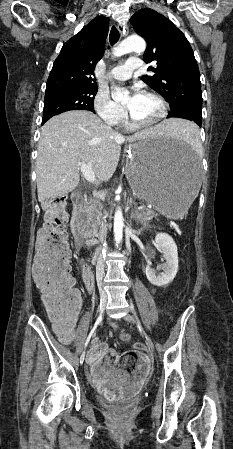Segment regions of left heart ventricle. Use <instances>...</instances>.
I'll return each mask as SVG.
<instances>
[{"label": "left heart ventricle", "mask_w": 233, "mask_h": 449, "mask_svg": "<svg viewBox=\"0 0 233 449\" xmlns=\"http://www.w3.org/2000/svg\"><path fill=\"white\" fill-rule=\"evenodd\" d=\"M130 99H126V105L128 106L132 115L141 122L151 121L155 119L160 113L159 103L148 95H142L141 98L132 107L129 106Z\"/></svg>", "instance_id": "b2bd125f"}]
</instances>
